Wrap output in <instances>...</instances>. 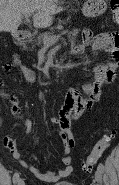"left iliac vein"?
Segmentation results:
<instances>
[{"label": "left iliac vein", "mask_w": 119, "mask_h": 185, "mask_svg": "<svg viewBox=\"0 0 119 185\" xmlns=\"http://www.w3.org/2000/svg\"><path fill=\"white\" fill-rule=\"evenodd\" d=\"M95 180L97 183H101L102 181V171L97 169L95 172Z\"/></svg>", "instance_id": "1"}]
</instances>
